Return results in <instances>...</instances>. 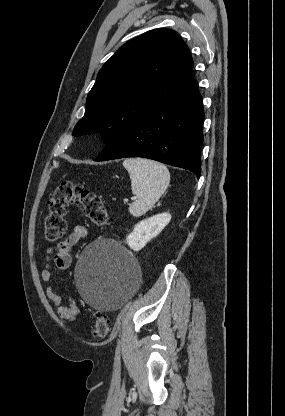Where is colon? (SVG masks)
<instances>
[{"label": "colon", "mask_w": 285, "mask_h": 416, "mask_svg": "<svg viewBox=\"0 0 285 416\" xmlns=\"http://www.w3.org/2000/svg\"><path fill=\"white\" fill-rule=\"evenodd\" d=\"M71 204L78 206L92 224L103 227L109 223L108 211L100 197L80 184L66 181L51 192L48 200V211L44 220V236L48 242H55L64 235L67 228L65 215ZM110 326V318L99 313L92 327L93 338H104Z\"/></svg>", "instance_id": "5ec220e1"}]
</instances>
